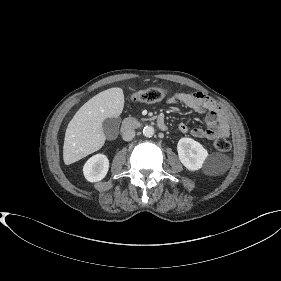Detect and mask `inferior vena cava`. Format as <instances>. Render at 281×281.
Instances as JSON below:
<instances>
[{"label":"inferior vena cava","instance_id":"inferior-vena-cava-1","mask_svg":"<svg viewBox=\"0 0 281 281\" xmlns=\"http://www.w3.org/2000/svg\"><path fill=\"white\" fill-rule=\"evenodd\" d=\"M135 137V131L132 129H128L123 132L122 138L125 141H131Z\"/></svg>","mask_w":281,"mask_h":281}]
</instances>
